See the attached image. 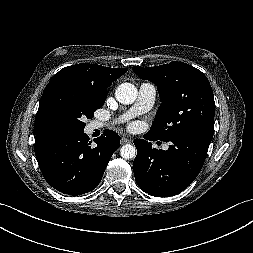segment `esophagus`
Returning a JSON list of instances; mask_svg holds the SVG:
<instances>
[{
    "label": "esophagus",
    "instance_id": "obj_1",
    "mask_svg": "<svg viewBox=\"0 0 253 253\" xmlns=\"http://www.w3.org/2000/svg\"><path fill=\"white\" fill-rule=\"evenodd\" d=\"M132 140L131 139H128L126 137H122L121 138V144H127V143H131Z\"/></svg>",
    "mask_w": 253,
    "mask_h": 253
}]
</instances>
